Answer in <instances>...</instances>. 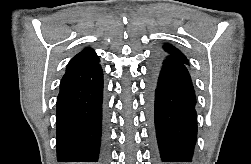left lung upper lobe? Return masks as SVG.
Masks as SVG:
<instances>
[{
  "label": "left lung upper lobe",
  "instance_id": "5c2ea615",
  "mask_svg": "<svg viewBox=\"0 0 251 164\" xmlns=\"http://www.w3.org/2000/svg\"><path fill=\"white\" fill-rule=\"evenodd\" d=\"M161 55L163 56H167V57H171V58H175L185 64H189L188 59L185 57V55L178 50L177 48H175L174 46L170 45V44H165L163 46Z\"/></svg>",
  "mask_w": 251,
  "mask_h": 164
}]
</instances>
